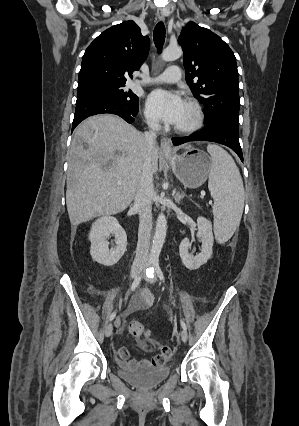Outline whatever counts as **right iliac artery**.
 <instances>
[{
    "instance_id": "1",
    "label": "right iliac artery",
    "mask_w": 299,
    "mask_h": 426,
    "mask_svg": "<svg viewBox=\"0 0 299 426\" xmlns=\"http://www.w3.org/2000/svg\"><path fill=\"white\" fill-rule=\"evenodd\" d=\"M141 279H142V275L136 277V279L133 281V283L131 285V291H134L138 287V285L141 282ZM115 316H116V311H114V312L111 313V315L109 317V321H112L115 318Z\"/></svg>"
}]
</instances>
